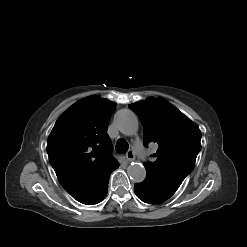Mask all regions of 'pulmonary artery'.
I'll return each mask as SVG.
<instances>
[{
    "label": "pulmonary artery",
    "mask_w": 247,
    "mask_h": 247,
    "mask_svg": "<svg viewBox=\"0 0 247 247\" xmlns=\"http://www.w3.org/2000/svg\"><path fill=\"white\" fill-rule=\"evenodd\" d=\"M141 153L142 154H146L145 151L143 149H140Z\"/></svg>",
    "instance_id": "obj_1"
}]
</instances>
